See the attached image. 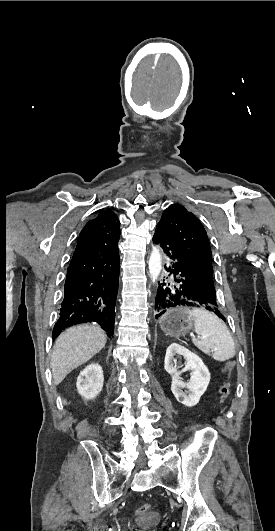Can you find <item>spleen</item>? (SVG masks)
I'll list each match as a JSON object with an SVG mask.
<instances>
[{
	"instance_id": "obj_1",
	"label": "spleen",
	"mask_w": 275,
	"mask_h": 531,
	"mask_svg": "<svg viewBox=\"0 0 275 531\" xmlns=\"http://www.w3.org/2000/svg\"><path fill=\"white\" fill-rule=\"evenodd\" d=\"M189 315L194 319L195 333L202 335L201 339H205V342H200L193 337L195 339L193 343L197 349L210 355L215 361H228L234 357V341L222 319L206 309H192Z\"/></svg>"
}]
</instances>
